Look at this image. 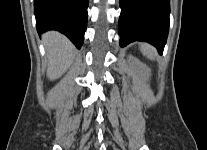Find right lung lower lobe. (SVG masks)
Returning a JSON list of instances; mask_svg holds the SVG:
<instances>
[{
    "label": "right lung lower lobe",
    "instance_id": "1",
    "mask_svg": "<svg viewBox=\"0 0 207 150\" xmlns=\"http://www.w3.org/2000/svg\"><path fill=\"white\" fill-rule=\"evenodd\" d=\"M88 0H34L38 33L57 30L80 49L87 26Z\"/></svg>",
    "mask_w": 207,
    "mask_h": 150
}]
</instances>
